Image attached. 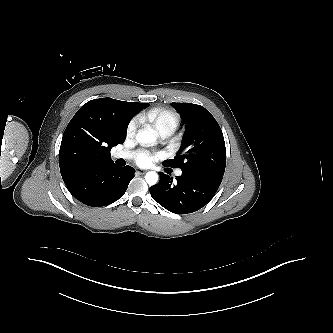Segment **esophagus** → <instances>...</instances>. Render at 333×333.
Segmentation results:
<instances>
[{
	"label": "esophagus",
	"mask_w": 333,
	"mask_h": 333,
	"mask_svg": "<svg viewBox=\"0 0 333 333\" xmlns=\"http://www.w3.org/2000/svg\"><path fill=\"white\" fill-rule=\"evenodd\" d=\"M136 173L141 175V174H145L146 171H145V170L137 169V170H136Z\"/></svg>",
	"instance_id": "34e87169"
}]
</instances>
